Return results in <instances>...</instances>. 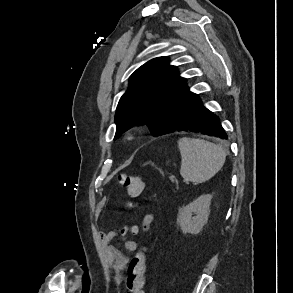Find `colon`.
<instances>
[{
	"mask_svg": "<svg viewBox=\"0 0 293 293\" xmlns=\"http://www.w3.org/2000/svg\"><path fill=\"white\" fill-rule=\"evenodd\" d=\"M118 181L132 197L139 196L144 189V183L139 176L120 174L118 176ZM121 232L122 234H136L138 232V228L137 226L125 227ZM146 261L145 251L136 253L131 259L124 277V287L126 293H144L143 285L146 271Z\"/></svg>",
	"mask_w": 293,
	"mask_h": 293,
	"instance_id": "1",
	"label": "colon"
}]
</instances>
